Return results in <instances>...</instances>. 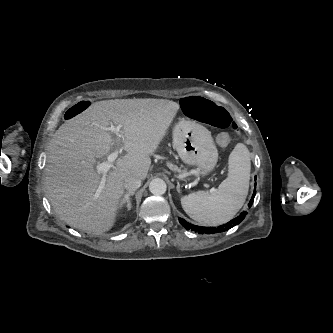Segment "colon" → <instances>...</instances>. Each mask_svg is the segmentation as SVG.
Segmentation results:
<instances>
[{
	"instance_id": "5ec220e1",
	"label": "colon",
	"mask_w": 333,
	"mask_h": 333,
	"mask_svg": "<svg viewBox=\"0 0 333 333\" xmlns=\"http://www.w3.org/2000/svg\"><path fill=\"white\" fill-rule=\"evenodd\" d=\"M88 108V102L81 101L69 108L64 118L71 120L83 113ZM182 108L185 113L198 121L211 125L219 129H232L234 135L242 134L243 129L235 125L229 113L212 101L200 96H188L182 100Z\"/></svg>"
}]
</instances>
